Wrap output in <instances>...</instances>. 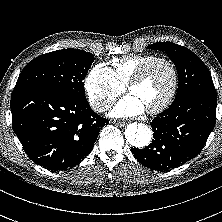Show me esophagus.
<instances>
[{
  "mask_svg": "<svg viewBox=\"0 0 222 222\" xmlns=\"http://www.w3.org/2000/svg\"><path fill=\"white\" fill-rule=\"evenodd\" d=\"M117 125H118L119 127H124V126L126 125V123H125V122H118Z\"/></svg>",
  "mask_w": 222,
  "mask_h": 222,
  "instance_id": "obj_1",
  "label": "esophagus"
}]
</instances>
